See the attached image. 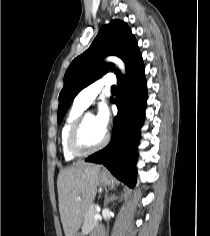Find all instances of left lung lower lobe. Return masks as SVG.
<instances>
[{
    "label": "left lung lower lobe",
    "instance_id": "1",
    "mask_svg": "<svg viewBox=\"0 0 210 236\" xmlns=\"http://www.w3.org/2000/svg\"><path fill=\"white\" fill-rule=\"evenodd\" d=\"M147 87L143 62L126 78L118 79L114 118V134L109 145L86 158V161L104 164L111 173L130 187L136 180L137 145L147 101Z\"/></svg>",
    "mask_w": 210,
    "mask_h": 236
}]
</instances>
